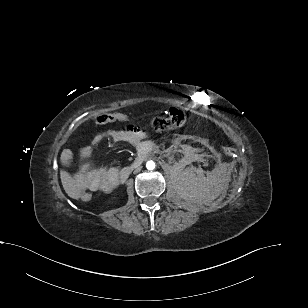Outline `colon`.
Instances as JSON below:
<instances>
[{
	"instance_id": "5ec220e1",
	"label": "colon",
	"mask_w": 308,
	"mask_h": 308,
	"mask_svg": "<svg viewBox=\"0 0 308 308\" xmlns=\"http://www.w3.org/2000/svg\"><path fill=\"white\" fill-rule=\"evenodd\" d=\"M128 117L124 113L113 112L105 113L96 117L97 124H107L114 121H126ZM186 121L185 113L175 107L170 108L164 115L155 116L150 121V126L155 131H166L174 128L181 127ZM223 152L227 156H234L236 150L230 146H224ZM78 199L83 202H89L92 199V194L89 190L81 191L78 194Z\"/></svg>"
}]
</instances>
